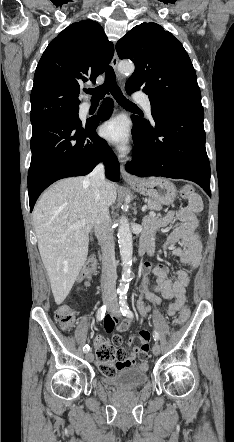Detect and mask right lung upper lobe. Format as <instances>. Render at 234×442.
I'll return each mask as SVG.
<instances>
[{
    "mask_svg": "<svg viewBox=\"0 0 234 442\" xmlns=\"http://www.w3.org/2000/svg\"><path fill=\"white\" fill-rule=\"evenodd\" d=\"M114 54L101 25L92 20L73 23L54 38L35 71L31 114L80 104L84 83H95Z\"/></svg>",
    "mask_w": 234,
    "mask_h": 442,
    "instance_id": "obj_1",
    "label": "right lung upper lobe"
}]
</instances>
